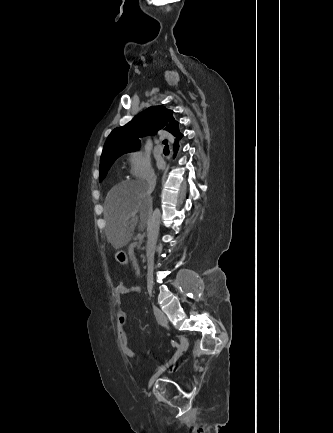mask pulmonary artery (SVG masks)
<instances>
[{"instance_id": "1", "label": "pulmonary artery", "mask_w": 333, "mask_h": 433, "mask_svg": "<svg viewBox=\"0 0 333 433\" xmlns=\"http://www.w3.org/2000/svg\"><path fill=\"white\" fill-rule=\"evenodd\" d=\"M155 150H156V152L159 153V154L163 153V147H162V145H161V144H158V145L155 147Z\"/></svg>"}]
</instances>
